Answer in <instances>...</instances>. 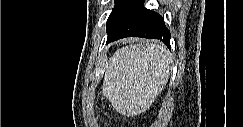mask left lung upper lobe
<instances>
[{
	"mask_svg": "<svg viewBox=\"0 0 243 127\" xmlns=\"http://www.w3.org/2000/svg\"><path fill=\"white\" fill-rule=\"evenodd\" d=\"M121 2V0H115V7H117V5ZM114 7V8H115Z\"/></svg>",
	"mask_w": 243,
	"mask_h": 127,
	"instance_id": "obj_1",
	"label": "left lung upper lobe"
}]
</instances>
